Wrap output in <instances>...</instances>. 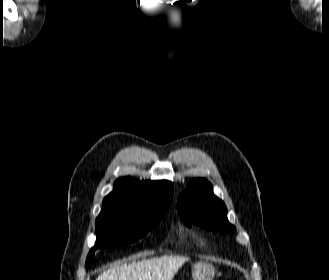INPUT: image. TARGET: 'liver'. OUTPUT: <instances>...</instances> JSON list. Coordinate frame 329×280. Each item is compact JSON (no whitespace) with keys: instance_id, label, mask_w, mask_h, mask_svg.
Wrapping results in <instances>:
<instances>
[{"instance_id":"1","label":"liver","mask_w":329,"mask_h":280,"mask_svg":"<svg viewBox=\"0 0 329 280\" xmlns=\"http://www.w3.org/2000/svg\"><path fill=\"white\" fill-rule=\"evenodd\" d=\"M132 257L130 263H117L99 275L96 280H172L189 258L162 256L142 261Z\"/></svg>"}]
</instances>
